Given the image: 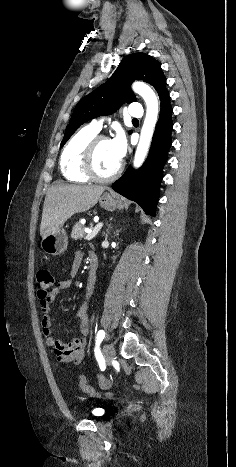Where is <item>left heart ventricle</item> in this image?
I'll use <instances>...</instances> for the list:
<instances>
[{
	"mask_svg": "<svg viewBox=\"0 0 236 467\" xmlns=\"http://www.w3.org/2000/svg\"><path fill=\"white\" fill-rule=\"evenodd\" d=\"M120 161L115 157L109 140L101 141L97 147L94 164L96 171L107 176L119 165Z\"/></svg>",
	"mask_w": 236,
	"mask_h": 467,
	"instance_id": "left-heart-ventricle-1",
	"label": "left heart ventricle"
}]
</instances>
